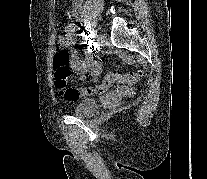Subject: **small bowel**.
Wrapping results in <instances>:
<instances>
[{"label":"small bowel","mask_w":207,"mask_h":179,"mask_svg":"<svg viewBox=\"0 0 207 179\" xmlns=\"http://www.w3.org/2000/svg\"><path fill=\"white\" fill-rule=\"evenodd\" d=\"M82 2L83 0H72V9L70 12V14L79 19L80 29H83L85 24ZM75 30L76 27L73 24H68L65 28L66 42L68 45L74 47L70 52L71 67L81 76V78L90 76L93 79H96L101 72L102 64L95 60L91 47L87 44L83 46L86 57L84 59L80 57L79 48L75 47L77 45V38L74 34Z\"/></svg>","instance_id":"small-bowel-1"}]
</instances>
